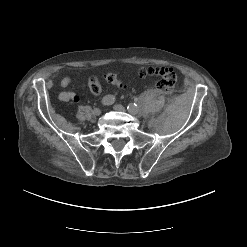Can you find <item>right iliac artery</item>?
<instances>
[{"instance_id": "right-iliac-artery-1", "label": "right iliac artery", "mask_w": 247, "mask_h": 247, "mask_svg": "<svg viewBox=\"0 0 247 247\" xmlns=\"http://www.w3.org/2000/svg\"><path fill=\"white\" fill-rule=\"evenodd\" d=\"M115 97L113 95H106L103 97L101 103L105 106L112 105L115 102Z\"/></svg>"}]
</instances>
